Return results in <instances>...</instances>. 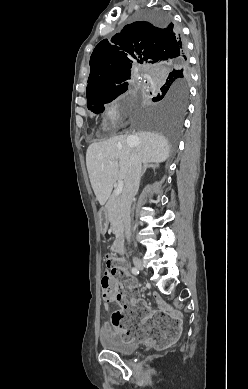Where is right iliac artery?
Listing matches in <instances>:
<instances>
[{
  "label": "right iliac artery",
  "mask_w": 248,
  "mask_h": 389,
  "mask_svg": "<svg viewBox=\"0 0 248 389\" xmlns=\"http://www.w3.org/2000/svg\"><path fill=\"white\" fill-rule=\"evenodd\" d=\"M131 271H132V273L134 274V275H138L139 274V271H138V269L137 268H132L131 269Z\"/></svg>",
  "instance_id": "82829eb1"
}]
</instances>
